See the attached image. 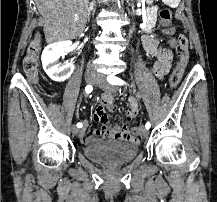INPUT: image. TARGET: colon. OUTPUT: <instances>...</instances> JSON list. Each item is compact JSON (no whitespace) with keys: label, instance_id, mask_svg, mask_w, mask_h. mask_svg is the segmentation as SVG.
Returning <instances> with one entry per match:
<instances>
[{"label":"colon","instance_id":"obj_1","mask_svg":"<svg viewBox=\"0 0 217 202\" xmlns=\"http://www.w3.org/2000/svg\"><path fill=\"white\" fill-rule=\"evenodd\" d=\"M159 17L164 31L172 36L178 61L170 77V85L176 87L181 80L182 74L189 62L190 41L184 34L176 35V29L171 23L172 13L169 8H161ZM40 51V39L35 36L30 42L23 59V70L30 81L38 78V55ZM132 132H139V127H132Z\"/></svg>","mask_w":217,"mask_h":202}]
</instances>
